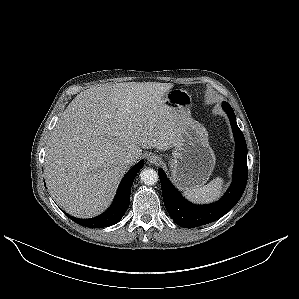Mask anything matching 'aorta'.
<instances>
[{"instance_id": "762f6f07", "label": "aorta", "mask_w": 299, "mask_h": 299, "mask_svg": "<svg viewBox=\"0 0 299 299\" xmlns=\"http://www.w3.org/2000/svg\"><path fill=\"white\" fill-rule=\"evenodd\" d=\"M158 178V173L152 168H146L140 173V179L146 185H154Z\"/></svg>"}]
</instances>
